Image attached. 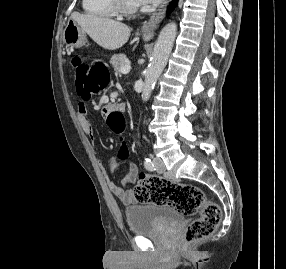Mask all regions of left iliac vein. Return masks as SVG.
<instances>
[{"label": "left iliac vein", "mask_w": 286, "mask_h": 269, "mask_svg": "<svg viewBox=\"0 0 286 269\" xmlns=\"http://www.w3.org/2000/svg\"><path fill=\"white\" fill-rule=\"evenodd\" d=\"M153 162L155 163L158 172H165L166 168L161 158L156 157L153 159Z\"/></svg>", "instance_id": "obj_1"}]
</instances>
